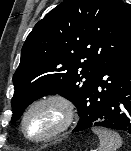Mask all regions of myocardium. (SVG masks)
Returning <instances> with one entry per match:
<instances>
[{
  "label": "myocardium",
  "mask_w": 131,
  "mask_h": 151,
  "mask_svg": "<svg viewBox=\"0 0 131 151\" xmlns=\"http://www.w3.org/2000/svg\"><path fill=\"white\" fill-rule=\"evenodd\" d=\"M46 105L54 106L60 110L61 121L58 124V126L48 134L41 137H32L26 131L27 118L33 110H35L38 107L46 106ZM74 119H75L74 103L67 96L63 94L49 93L35 99L28 105L21 118V131L24 137L31 142H35V143L48 142L59 137L64 132H66L73 124Z\"/></svg>",
  "instance_id": "f54148a6"
}]
</instances>
